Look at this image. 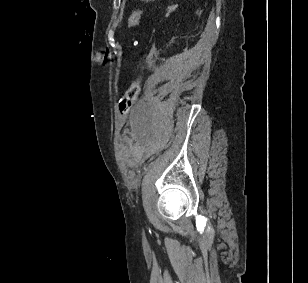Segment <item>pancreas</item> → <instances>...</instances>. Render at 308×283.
Listing matches in <instances>:
<instances>
[{"label":"pancreas","mask_w":308,"mask_h":283,"mask_svg":"<svg viewBox=\"0 0 308 283\" xmlns=\"http://www.w3.org/2000/svg\"><path fill=\"white\" fill-rule=\"evenodd\" d=\"M169 13H170V9H169V11H168V13L166 15H169Z\"/></svg>","instance_id":"cf45deb5"}]
</instances>
